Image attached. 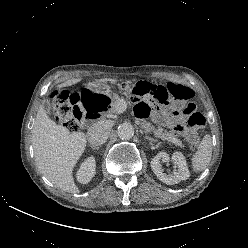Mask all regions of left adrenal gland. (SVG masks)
Returning <instances> with one entry per match:
<instances>
[{
  "instance_id": "a2214340",
  "label": "left adrenal gland",
  "mask_w": 248,
  "mask_h": 248,
  "mask_svg": "<svg viewBox=\"0 0 248 248\" xmlns=\"http://www.w3.org/2000/svg\"><path fill=\"white\" fill-rule=\"evenodd\" d=\"M142 133V132H141ZM146 139H148V140H150V141H157V140H154V139H151V138H149V137H145Z\"/></svg>"
}]
</instances>
